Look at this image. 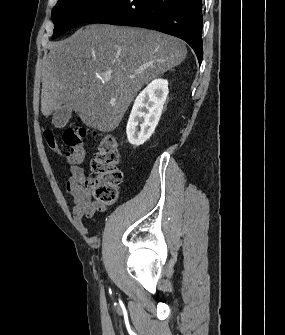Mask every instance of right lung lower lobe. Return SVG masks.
<instances>
[{
  "instance_id": "obj_1",
  "label": "right lung lower lobe",
  "mask_w": 285,
  "mask_h": 335,
  "mask_svg": "<svg viewBox=\"0 0 285 335\" xmlns=\"http://www.w3.org/2000/svg\"><path fill=\"white\" fill-rule=\"evenodd\" d=\"M87 23L151 28L186 41L203 58L202 0H119Z\"/></svg>"
}]
</instances>
